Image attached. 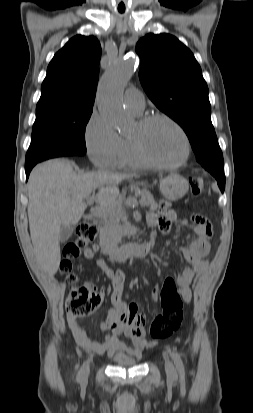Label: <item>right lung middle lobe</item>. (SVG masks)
<instances>
[{
	"instance_id": "obj_1",
	"label": "right lung middle lobe",
	"mask_w": 253,
	"mask_h": 413,
	"mask_svg": "<svg viewBox=\"0 0 253 413\" xmlns=\"http://www.w3.org/2000/svg\"><path fill=\"white\" fill-rule=\"evenodd\" d=\"M91 114L92 109L36 113L25 165L54 157L84 155V132Z\"/></svg>"
}]
</instances>
